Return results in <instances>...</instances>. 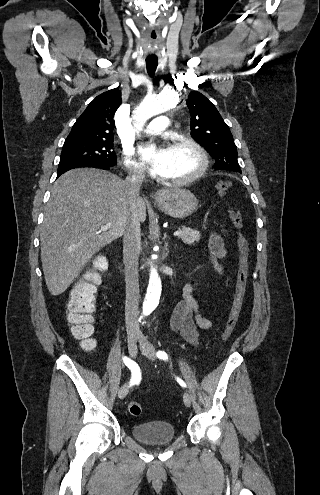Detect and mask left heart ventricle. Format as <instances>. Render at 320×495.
<instances>
[{
  "label": "left heart ventricle",
  "instance_id": "b2bd125f",
  "mask_svg": "<svg viewBox=\"0 0 320 495\" xmlns=\"http://www.w3.org/2000/svg\"><path fill=\"white\" fill-rule=\"evenodd\" d=\"M169 162L165 177L171 180L182 179L198 168L196 153L187 146L168 148Z\"/></svg>",
  "mask_w": 320,
  "mask_h": 495
}]
</instances>
